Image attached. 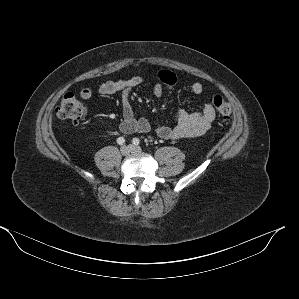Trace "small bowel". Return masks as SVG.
I'll list each match as a JSON object with an SVG mask.
<instances>
[{
	"mask_svg": "<svg viewBox=\"0 0 299 299\" xmlns=\"http://www.w3.org/2000/svg\"><path fill=\"white\" fill-rule=\"evenodd\" d=\"M156 75L159 82L153 85V93L161 96L165 88L174 86L177 82L176 75L168 70H157ZM143 78L139 75L131 76L127 79L108 81L98 87L100 95L120 94L122 104V120L119 129L124 134L148 133L152 130V125L146 118H137L130 102V92L133 88L141 85ZM191 91L200 95L204 88L200 82H193L190 86ZM84 100H91L94 91L91 88H83L80 92ZM216 117L212 103L207 102L200 110L187 112L178 110L174 114L173 125H160L154 128L157 136L167 140L189 139L204 135L214 122Z\"/></svg>",
	"mask_w": 299,
	"mask_h": 299,
	"instance_id": "c3829d8e",
	"label": "small bowel"
}]
</instances>
